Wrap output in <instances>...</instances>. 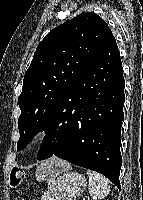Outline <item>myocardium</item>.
Here are the masks:
<instances>
[{"label":"myocardium","instance_id":"obj_1","mask_svg":"<svg viewBox=\"0 0 143 200\" xmlns=\"http://www.w3.org/2000/svg\"><path fill=\"white\" fill-rule=\"evenodd\" d=\"M44 133V131H42L40 134H43Z\"/></svg>","mask_w":143,"mask_h":200}]
</instances>
